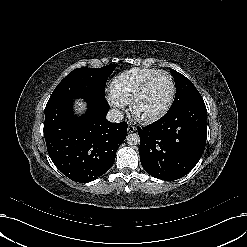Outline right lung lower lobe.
<instances>
[{
    "mask_svg": "<svg viewBox=\"0 0 247 247\" xmlns=\"http://www.w3.org/2000/svg\"><path fill=\"white\" fill-rule=\"evenodd\" d=\"M88 111L81 117L72 111L73 99L49 103L45 108L44 137L54 165L76 182H90L107 172L125 140L127 123L106 119L105 99H85Z\"/></svg>",
    "mask_w": 247,
    "mask_h": 247,
    "instance_id": "right-lung-lower-lobe-1",
    "label": "right lung lower lobe"
}]
</instances>
